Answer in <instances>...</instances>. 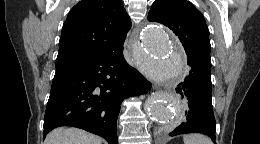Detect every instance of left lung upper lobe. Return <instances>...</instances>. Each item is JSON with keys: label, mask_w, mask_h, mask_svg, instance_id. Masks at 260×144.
Segmentation results:
<instances>
[{"label": "left lung upper lobe", "mask_w": 260, "mask_h": 144, "mask_svg": "<svg viewBox=\"0 0 260 144\" xmlns=\"http://www.w3.org/2000/svg\"><path fill=\"white\" fill-rule=\"evenodd\" d=\"M148 20L169 27L178 36L188 60L211 66L209 30L200 11L187 0H156Z\"/></svg>", "instance_id": "left-lung-upper-lobe-1"}]
</instances>
